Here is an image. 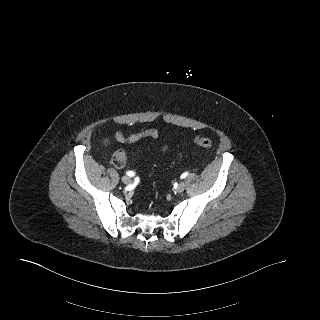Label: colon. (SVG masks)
<instances>
[{
    "label": "colon",
    "instance_id": "obj_1",
    "mask_svg": "<svg viewBox=\"0 0 320 320\" xmlns=\"http://www.w3.org/2000/svg\"><path fill=\"white\" fill-rule=\"evenodd\" d=\"M194 143L197 146L207 150L213 147L212 140L207 137L198 136L194 139ZM127 158H128L127 151L125 149H119L114 153L112 157V162L114 166L122 167L126 163Z\"/></svg>",
    "mask_w": 320,
    "mask_h": 320
}]
</instances>
